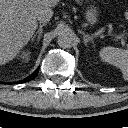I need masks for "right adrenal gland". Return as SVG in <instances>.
<instances>
[{
	"label": "right adrenal gland",
	"mask_w": 128,
	"mask_h": 128,
	"mask_svg": "<svg viewBox=\"0 0 128 128\" xmlns=\"http://www.w3.org/2000/svg\"><path fill=\"white\" fill-rule=\"evenodd\" d=\"M44 26H46V24L44 23V24H40L39 25V28H38V30H37V32H36V34L32 37V42L34 41V39L37 37V42L39 43V41H40V38H41V36H42V33H43V27Z\"/></svg>",
	"instance_id": "right-adrenal-gland-1"
}]
</instances>
